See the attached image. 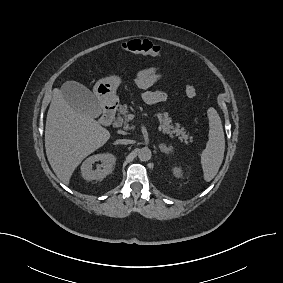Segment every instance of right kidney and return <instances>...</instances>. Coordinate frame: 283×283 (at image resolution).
<instances>
[{
  "label": "right kidney",
  "instance_id": "1",
  "mask_svg": "<svg viewBox=\"0 0 283 283\" xmlns=\"http://www.w3.org/2000/svg\"><path fill=\"white\" fill-rule=\"evenodd\" d=\"M101 161V167H97L96 170L92 169L95 162ZM116 158L110 153L97 154L88 157L81 166V174L85 180H103L107 175L112 172Z\"/></svg>",
  "mask_w": 283,
  "mask_h": 283
}]
</instances>
